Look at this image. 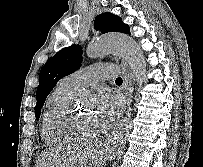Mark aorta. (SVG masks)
I'll return each instance as SVG.
<instances>
[{
	"label": "aorta",
	"instance_id": "1",
	"mask_svg": "<svg viewBox=\"0 0 203 167\" xmlns=\"http://www.w3.org/2000/svg\"><path fill=\"white\" fill-rule=\"evenodd\" d=\"M108 54L123 57L130 65L137 85L142 87L146 80V62L140 46L129 36L106 34L92 40L86 49V55L95 59ZM130 118H124L109 134L105 142V160L111 162L121 153L131 131Z\"/></svg>",
	"mask_w": 203,
	"mask_h": 167
}]
</instances>
